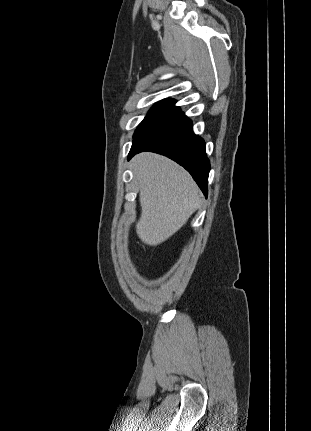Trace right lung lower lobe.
Instances as JSON below:
<instances>
[{
  "label": "right lung lower lobe",
  "mask_w": 311,
  "mask_h": 431,
  "mask_svg": "<svg viewBox=\"0 0 311 431\" xmlns=\"http://www.w3.org/2000/svg\"><path fill=\"white\" fill-rule=\"evenodd\" d=\"M143 151L162 154L183 166L207 197L210 162L205 142L193 133L191 120L179 107L165 110L134 138L128 160Z\"/></svg>",
  "instance_id": "98d812e1"
}]
</instances>
